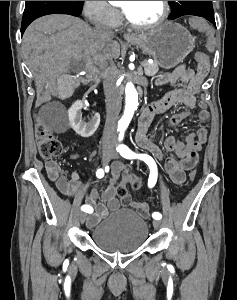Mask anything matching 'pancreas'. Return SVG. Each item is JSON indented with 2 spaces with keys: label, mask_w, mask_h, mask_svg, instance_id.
<instances>
[{
  "label": "pancreas",
  "mask_w": 237,
  "mask_h": 300,
  "mask_svg": "<svg viewBox=\"0 0 237 300\" xmlns=\"http://www.w3.org/2000/svg\"><path fill=\"white\" fill-rule=\"evenodd\" d=\"M146 63L145 75H147V77H153V75H156L159 71L158 63H148V61Z\"/></svg>",
  "instance_id": "obj_1"
}]
</instances>
